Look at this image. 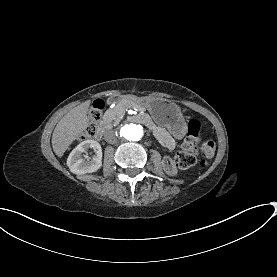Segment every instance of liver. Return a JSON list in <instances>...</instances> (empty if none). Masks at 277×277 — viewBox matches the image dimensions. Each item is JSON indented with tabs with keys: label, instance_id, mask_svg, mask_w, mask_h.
<instances>
[{
	"label": "liver",
	"instance_id": "liver-1",
	"mask_svg": "<svg viewBox=\"0 0 277 277\" xmlns=\"http://www.w3.org/2000/svg\"><path fill=\"white\" fill-rule=\"evenodd\" d=\"M90 103L87 100L71 109L56 125L52 134V147L58 157H62L69 145L87 129Z\"/></svg>",
	"mask_w": 277,
	"mask_h": 277
}]
</instances>
